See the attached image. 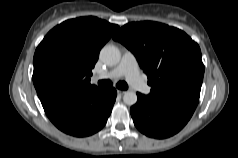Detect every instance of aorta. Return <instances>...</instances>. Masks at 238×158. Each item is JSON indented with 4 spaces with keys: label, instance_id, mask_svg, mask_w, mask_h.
<instances>
[{
    "label": "aorta",
    "instance_id": "1",
    "mask_svg": "<svg viewBox=\"0 0 238 158\" xmlns=\"http://www.w3.org/2000/svg\"><path fill=\"white\" fill-rule=\"evenodd\" d=\"M101 60L111 66L117 65L121 59L120 50L114 45H105L100 51ZM125 104L132 106L137 102V95L134 91H126L123 96Z\"/></svg>",
    "mask_w": 238,
    "mask_h": 158
}]
</instances>
